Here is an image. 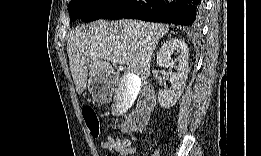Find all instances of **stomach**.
Segmentation results:
<instances>
[{
	"label": "stomach",
	"instance_id": "stomach-1",
	"mask_svg": "<svg viewBox=\"0 0 261 156\" xmlns=\"http://www.w3.org/2000/svg\"><path fill=\"white\" fill-rule=\"evenodd\" d=\"M98 78L106 79L108 81V78L105 75H97L95 77H92V78H90L89 83H88L89 89H90L91 84L94 83ZM108 83H109V81H108Z\"/></svg>",
	"mask_w": 261,
	"mask_h": 156
}]
</instances>
